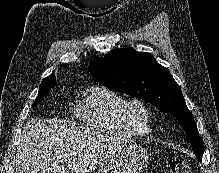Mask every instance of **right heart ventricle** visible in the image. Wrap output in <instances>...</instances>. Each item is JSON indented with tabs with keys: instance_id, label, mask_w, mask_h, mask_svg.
I'll return each instance as SVG.
<instances>
[{
	"instance_id": "e07e8e85",
	"label": "right heart ventricle",
	"mask_w": 219,
	"mask_h": 173,
	"mask_svg": "<svg viewBox=\"0 0 219 173\" xmlns=\"http://www.w3.org/2000/svg\"><path fill=\"white\" fill-rule=\"evenodd\" d=\"M124 97L103 85L86 88L72 105L74 116L85 126L121 136H135L121 120Z\"/></svg>"
}]
</instances>
